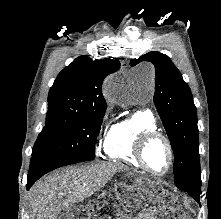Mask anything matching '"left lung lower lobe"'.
Returning a JSON list of instances; mask_svg holds the SVG:
<instances>
[{"instance_id":"left-lung-lower-lobe-1","label":"left lung lower lobe","mask_w":221,"mask_h":219,"mask_svg":"<svg viewBox=\"0 0 221 219\" xmlns=\"http://www.w3.org/2000/svg\"><path fill=\"white\" fill-rule=\"evenodd\" d=\"M186 192H188L199 203L200 191H186Z\"/></svg>"}]
</instances>
